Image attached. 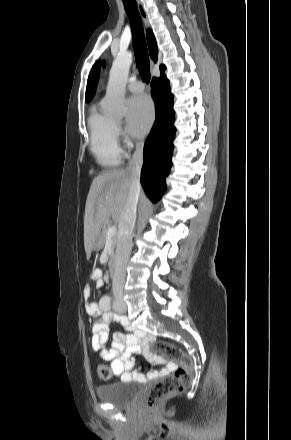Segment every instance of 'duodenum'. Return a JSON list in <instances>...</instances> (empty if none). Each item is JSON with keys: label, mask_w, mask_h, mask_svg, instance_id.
<instances>
[{"label": "duodenum", "mask_w": 291, "mask_h": 440, "mask_svg": "<svg viewBox=\"0 0 291 440\" xmlns=\"http://www.w3.org/2000/svg\"><path fill=\"white\" fill-rule=\"evenodd\" d=\"M108 271H109V276L111 278H114L116 275V269H115V263L114 260H110L108 263Z\"/></svg>", "instance_id": "obj_1"}]
</instances>
